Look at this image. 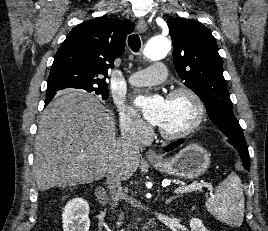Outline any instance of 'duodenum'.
<instances>
[{
    "label": "duodenum",
    "mask_w": 268,
    "mask_h": 231,
    "mask_svg": "<svg viewBox=\"0 0 268 231\" xmlns=\"http://www.w3.org/2000/svg\"><path fill=\"white\" fill-rule=\"evenodd\" d=\"M98 198H99L102 202L105 203V202H107L109 196H108V194H107L106 192H100V193L98 194ZM149 227H150V222H148L142 229L145 231V230L149 229Z\"/></svg>",
    "instance_id": "duodenum-1"
}]
</instances>
